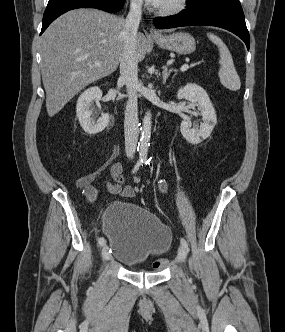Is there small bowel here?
Returning a JSON list of instances; mask_svg holds the SVG:
<instances>
[{
	"instance_id": "c3829d8e",
	"label": "small bowel",
	"mask_w": 285,
	"mask_h": 332,
	"mask_svg": "<svg viewBox=\"0 0 285 332\" xmlns=\"http://www.w3.org/2000/svg\"><path fill=\"white\" fill-rule=\"evenodd\" d=\"M122 171L123 168L119 162H115L111 166L110 173L114 179V182L112 183L110 181H106L107 189L112 194H119L124 197H132L134 195V189L131 186H124ZM98 174V172H94L76 179V186L85 192V195L89 201H94L97 197V190L93 186V182ZM160 189L162 191H166V185L161 183Z\"/></svg>"
}]
</instances>
